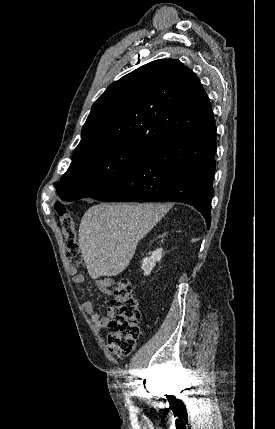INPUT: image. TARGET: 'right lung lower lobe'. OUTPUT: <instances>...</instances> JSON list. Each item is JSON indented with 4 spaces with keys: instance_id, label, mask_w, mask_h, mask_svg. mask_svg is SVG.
Here are the masks:
<instances>
[{
    "instance_id": "right-lung-lower-lobe-1",
    "label": "right lung lower lobe",
    "mask_w": 275,
    "mask_h": 429,
    "mask_svg": "<svg viewBox=\"0 0 275 429\" xmlns=\"http://www.w3.org/2000/svg\"><path fill=\"white\" fill-rule=\"evenodd\" d=\"M215 154L213 123L164 141L137 168L92 198L108 202L186 203L200 210L209 228Z\"/></svg>"
}]
</instances>
